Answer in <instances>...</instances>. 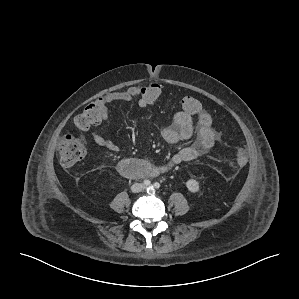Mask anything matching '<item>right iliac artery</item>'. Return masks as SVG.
Here are the masks:
<instances>
[{
    "label": "right iliac artery",
    "instance_id": "82829eb1",
    "mask_svg": "<svg viewBox=\"0 0 299 299\" xmlns=\"http://www.w3.org/2000/svg\"><path fill=\"white\" fill-rule=\"evenodd\" d=\"M144 185H146V186H148V185H150L151 184V182H150V180H144Z\"/></svg>",
    "mask_w": 299,
    "mask_h": 299
}]
</instances>
